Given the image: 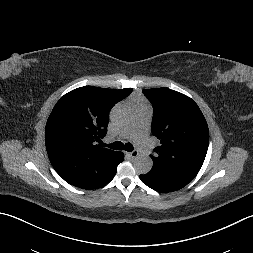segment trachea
I'll list each match as a JSON object with an SVG mask.
<instances>
[{
  "label": "trachea",
  "mask_w": 253,
  "mask_h": 253,
  "mask_svg": "<svg viewBox=\"0 0 253 253\" xmlns=\"http://www.w3.org/2000/svg\"><path fill=\"white\" fill-rule=\"evenodd\" d=\"M104 146H108V147L115 149V150H123L124 149L125 151H129V152L133 151V149H134V147L131 143L123 144L120 141H116V142H114L112 144H108V145L104 144Z\"/></svg>",
  "instance_id": "trachea-1"
}]
</instances>
